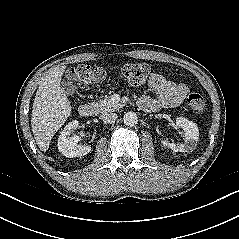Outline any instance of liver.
Instances as JSON below:
<instances>
[{"label": "liver", "mask_w": 239, "mask_h": 239, "mask_svg": "<svg viewBox=\"0 0 239 239\" xmlns=\"http://www.w3.org/2000/svg\"><path fill=\"white\" fill-rule=\"evenodd\" d=\"M66 66L51 68L40 81L32 107L31 126L40 150L46 152L51 139L71 114L70 102L61 88Z\"/></svg>", "instance_id": "liver-1"}]
</instances>
